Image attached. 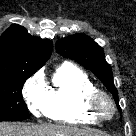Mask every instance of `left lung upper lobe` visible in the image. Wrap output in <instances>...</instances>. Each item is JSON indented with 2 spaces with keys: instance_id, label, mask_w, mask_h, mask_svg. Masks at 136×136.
Masks as SVG:
<instances>
[{
  "instance_id": "obj_1",
  "label": "left lung upper lobe",
  "mask_w": 136,
  "mask_h": 136,
  "mask_svg": "<svg viewBox=\"0 0 136 136\" xmlns=\"http://www.w3.org/2000/svg\"><path fill=\"white\" fill-rule=\"evenodd\" d=\"M56 49L62 56L71 58L91 70L113 94L118 105V92L113 83L111 67L105 60L103 49L97 43L86 35L75 34L59 40Z\"/></svg>"
}]
</instances>
